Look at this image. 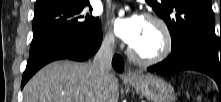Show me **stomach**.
<instances>
[{
  "instance_id": "obj_1",
  "label": "stomach",
  "mask_w": 221,
  "mask_h": 102,
  "mask_svg": "<svg viewBox=\"0 0 221 102\" xmlns=\"http://www.w3.org/2000/svg\"><path fill=\"white\" fill-rule=\"evenodd\" d=\"M129 83L151 102H174L177 97L170 84L154 75H141Z\"/></svg>"
}]
</instances>
